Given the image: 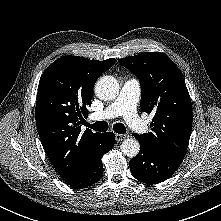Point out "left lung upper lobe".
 <instances>
[{
    "instance_id": "1",
    "label": "left lung upper lobe",
    "mask_w": 221,
    "mask_h": 221,
    "mask_svg": "<svg viewBox=\"0 0 221 221\" xmlns=\"http://www.w3.org/2000/svg\"><path fill=\"white\" fill-rule=\"evenodd\" d=\"M141 83V110L154 115L151 132L134 137L153 150L185 156L192 128V103L181 71L161 52L119 59Z\"/></svg>"
}]
</instances>
